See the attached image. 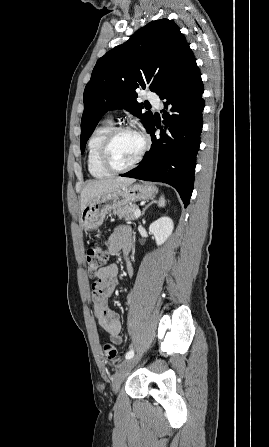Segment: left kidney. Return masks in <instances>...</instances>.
I'll use <instances>...</instances> for the list:
<instances>
[{
	"label": "left kidney",
	"instance_id": "obj_1",
	"mask_svg": "<svg viewBox=\"0 0 269 447\" xmlns=\"http://www.w3.org/2000/svg\"><path fill=\"white\" fill-rule=\"evenodd\" d=\"M173 227L174 224L171 218L164 216V218H159V220L150 224L149 231L150 233H153L157 245H162V243L168 239L169 235H171Z\"/></svg>",
	"mask_w": 269,
	"mask_h": 447
}]
</instances>
